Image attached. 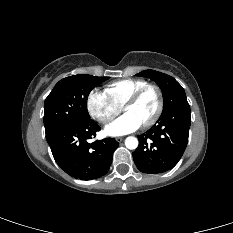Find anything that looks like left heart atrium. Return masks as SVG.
I'll use <instances>...</instances> for the list:
<instances>
[{
    "label": "left heart atrium",
    "instance_id": "obj_1",
    "mask_svg": "<svg viewBox=\"0 0 233 233\" xmlns=\"http://www.w3.org/2000/svg\"><path fill=\"white\" fill-rule=\"evenodd\" d=\"M142 124L130 113H124L105 128L109 136H122L136 131Z\"/></svg>",
    "mask_w": 233,
    "mask_h": 233
}]
</instances>
